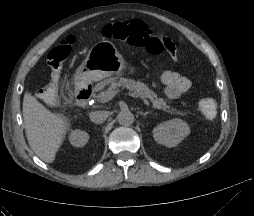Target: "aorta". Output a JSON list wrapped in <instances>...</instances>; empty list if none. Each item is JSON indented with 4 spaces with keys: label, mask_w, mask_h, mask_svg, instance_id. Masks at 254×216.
Instances as JSON below:
<instances>
[{
    "label": "aorta",
    "mask_w": 254,
    "mask_h": 216,
    "mask_svg": "<svg viewBox=\"0 0 254 216\" xmlns=\"http://www.w3.org/2000/svg\"><path fill=\"white\" fill-rule=\"evenodd\" d=\"M119 124L123 126H130L134 122V115L129 110H122L117 115Z\"/></svg>",
    "instance_id": "aorta-1"
}]
</instances>
